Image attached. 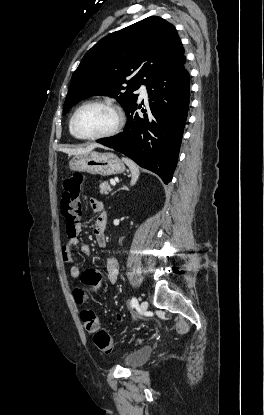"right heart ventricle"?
Here are the masks:
<instances>
[{"instance_id":"right-heart-ventricle-1","label":"right heart ventricle","mask_w":264,"mask_h":415,"mask_svg":"<svg viewBox=\"0 0 264 415\" xmlns=\"http://www.w3.org/2000/svg\"><path fill=\"white\" fill-rule=\"evenodd\" d=\"M70 121H71V119H70ZM70 121H69V131H70V133H71L74 137H76V136L73 134L72 130H71Z\"/></svg>"}]
</instances>
